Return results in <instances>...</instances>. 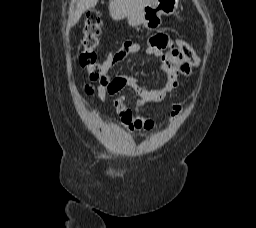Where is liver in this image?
<instances>
[{
    "mask_svg": "<svg viewBox=\"0 0 256 228\" xmlns=\"http://www.w3.org/2000/svg\"><path fill=\"white\" fill-rule=\"evenodd\" d=\"M75 9L69 14V26L75 25L82 14L94 8L99 0H74ZM152 0H109V13L115 19H123L136 13L139 9L150 4Z\"/></svg>",
    "mask_w": 256,
    "mask_h": 228,
    "instance_id": "liver-1",
    "label": "liver"
}]
</instances>
